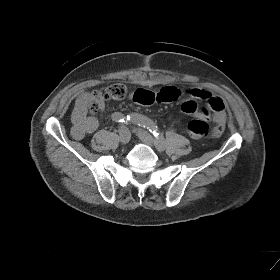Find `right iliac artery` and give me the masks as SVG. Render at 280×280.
Returning <instances> with one entry per match:
<instances>
[{
	"instance_id": "obj_1",
	"label": "right iliac artery",
	"mask_w": 280,
	"mask_h": 280,
	"mask_svg": "<svg viewBox=\"0 0 280 280\" xmlns=\"http://www.w3.org/2000/svg\"><path fill=\"white\" fill-rule=\"evenodd\" d=\"M112 120L119 123L128 122V116H124L119 112H115L112 114Z\"/></svg>"
}]
</instances>
